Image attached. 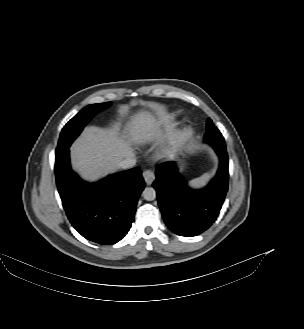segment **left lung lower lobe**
<instances>
[{
	"mask_svg": "<svg viewBox=\"0 0 304 329\" xmlns=\"http://www.w3.org/2000/svg\"><path fill=\"white\" fill-rule=\"evenodd\" d=\"M220 159L216 176L202 190L186 185L175 162L159 165L153 187L166 225L176 234L196 236L216 220L228 191V156L224 138L213 125L204 135Z\"/></svg>",
	"mask_w": 304,
	"mask_h": 329,
	"instance_id": "1",
	"label": "left lung lower lobe"
}]
</instances>
